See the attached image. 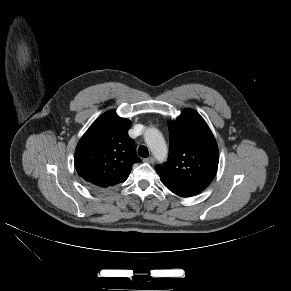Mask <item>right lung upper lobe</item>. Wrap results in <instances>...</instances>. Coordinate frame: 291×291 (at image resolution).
Returning <instances> with one entry per match:
<instances>
[{
    "mask_svg": "<svg viewBox=\"0 0 291 291\" xmlns=\"http://www.w3.org/2000/svg\"><path fill=\"white\" fill-rule=\"evenodd\" d=\"M130 125L115 111H107L82 136L75 150V167L86 183L96 189L122 183L132 165L141 162L128 136Z\"/></svg>",
    "mask_w": 291,
    "mask_h": 291,
    "instance_id": "obj_1",
    "label": "right lung upper lobe"
}]
</instances>
